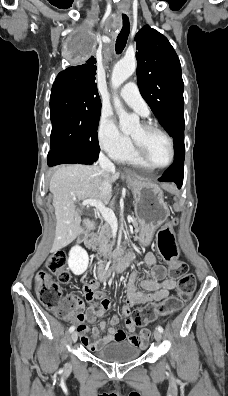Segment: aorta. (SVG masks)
Instances as JSON below:
<instances>
[{"instance_id": "aorta-1", "label": "aorta", "mask_w": 228, "mask_h": 396, "mask_svg": "<svg viewBox=\"0 0 228 396\" xmlns=\"http://www.w3.org/2000/svg\"><path fill=\"white\" fill-rule=\"evenodd\" d=\"M136 70V59L134 57H124L118 61L112 71L111 85L117 90ZM114 106L119 116L120 128L124 133L131 132L139 123V118L129 115L123 108L120 99L114 97Z\"/></svg>"}]
</instances>
